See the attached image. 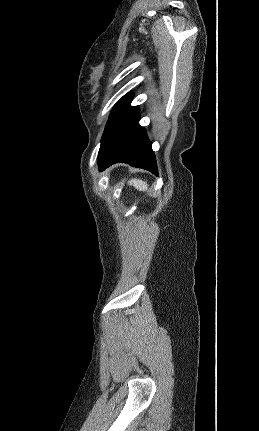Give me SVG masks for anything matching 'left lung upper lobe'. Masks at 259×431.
<instances>
[{
  "label": "left lung upper lobe",
  "instance_id": "1",
  "mask_svg": "<svg viewBox=\"0 0 259 431\" xmlns=\"http://www.w3.org/2000/svg\"><path fill=\"white\" fill-rule=\"evenodd\" d=\"M131 101L132 94L130 93L121 98L114 106L103 132L101 145L107 140L110 134L123 121V119L137 108V106H130Z\"/></svg>",
  "mask_w": 259,
  "mask_h": 431
}]
</instances>
